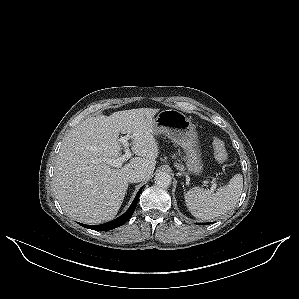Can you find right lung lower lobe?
I'll return each instance as SVG.
<instances>
[{"label":"right lung lower lobe","mask_w":299,"mask_h":299,"mask_svg":"<svg viewBox=\"0 0 299 299\" xmlns=\"http://www.w3.org/2000/svg\"><path fill=\"white\" fill-rule=\"evenodd\" d=\"M141 191H142V188L138 191V193H137L134 201L132 202L131 206L129 207V209L122 216L118 217L117 219L110 221L108 223L100 224V225H85V224H81V223H79V224L85 228L96 230V231H107V230H111V229H114V228H117V227L123 225L131 218V216L136 208Z\"/></svg>","instance_id":"98d812e1"}]
</instances>
